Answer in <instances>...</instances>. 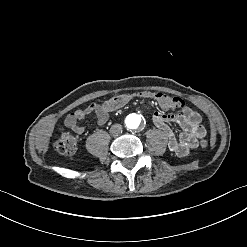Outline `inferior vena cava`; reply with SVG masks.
<instances>
[{
	"label": "inferior vena cava",
	"mask_w": 247,
	"mask_h": 247,
	"mask_svg": "<svg viewBox=\"0 0 247 247\" xmlns=\"http://www.w3.org/2000/svg\"><path fill=\"white\" fill-rule=\"evenodd\" d=\"M122 130V126L120 124H114L110 128V134L113 136L118 135Z\"/></svg>",
	"instance_id": "inferior-vena-cava-1"
}]
</instances>
